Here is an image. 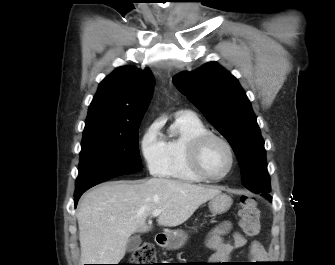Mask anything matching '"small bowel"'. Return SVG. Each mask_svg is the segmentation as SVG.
<instances>
[{"label": "small bowel", "mask_w": 335, "mask_h": 265, "mask_svg": "<svg viewBox=\"0 0 335 265\" xmlns=\"http://www.w3.org/2000/svg\"><path fill=\"white\" fill-rule=\"evenodd\" d=\"M232 230L231 223L223 222L212 230L209 234L206 245L213 251L210 260L212 262H223L231 258L232 253L247 244V239L239 232H233V239L226 240L224 236ZM252 261L265 260V250L258 241H253L248 252Z\"/></svg>", "instance_id": "small-bowel-1"}]
</instances>
